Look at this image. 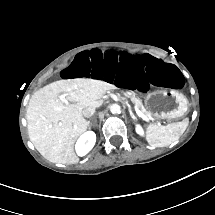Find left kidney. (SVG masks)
I'll return each instance as SVG.
<instances>
[{
  "label": "left kidney",
  "instance_id": "5707ae66",
  "mask_svg": "<svg viewBox=\"0 0 215 215\" xmlns=\"http://www.w3.org/2000/svg\"><path fill=\"white\" fill-rule=\"evenodd\" d=\"M135 132L140 136L144 137L145 136V130L143 126L140 123L135 124Z\"/></svg>",
  "mask_w": 215,
  "mask_h": 215
}]
</instances>
